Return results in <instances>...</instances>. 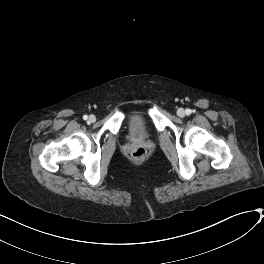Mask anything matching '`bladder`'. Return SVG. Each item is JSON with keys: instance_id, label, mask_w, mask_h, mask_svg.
<instances>
[{"instance_id": "obj_1", "label": "bladder", "mask_w": 264, "mask_h": 264, "mask_svg": "<svg viewBox=\"0 0 264 264\" xmlns=\"http://www.w3.org/2000/svg\"><path fill=\"white\" fill-rule=\"evenodd\" d=\"M141 119L139 117L132 118L130 122V134L134 139H141L144 132L141 128Z\"/></svg>"}]
</instances>
